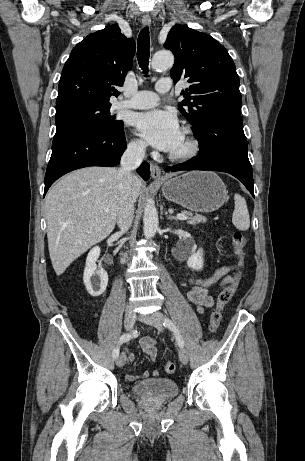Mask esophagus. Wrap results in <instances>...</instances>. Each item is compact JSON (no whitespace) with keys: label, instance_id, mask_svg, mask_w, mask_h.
I'll return each mask as SVG.
<instances>
[{"label":"esophagus","instance_id":"34e87169","mask_svg":"<svg viewBox=\"0 0 305 461\" xmlns=\"http://www.w3.org/2000/svg\"><path fill=\"white\" fill-rule=\"evenodd\" d=\"M142 24L145 27L150 26L151 18L149 16H143L142 17ZM150 171H151V177H152L153 180H155V181L163 180L161 169L157 164L151 163L150 164Z\"/></svg>","mask_w":305,"mask_h":461}]
</instances>
